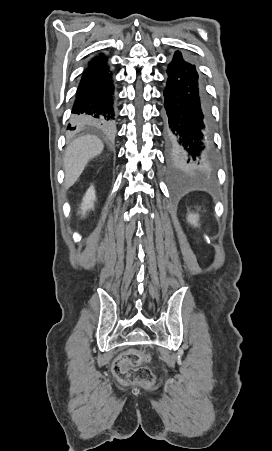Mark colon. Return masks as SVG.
<instances>
[{
    "label": "colon",
    "mask_w": 272,
    "mask_h": 451,
    "mask_svg": "<svg viewBox=\"0 0 272 451\" xmlns=\"http://www.w3.org/2000/svg\"><path fill=\"white\" fill-rule=\"evenodd\" d=\"M142 358L137 352L129 353L127 358H115V374H122L121 378L124 383H138L153 386L154 378L150 370L149 362L151 353L145 350ZM141 362L143 365H134Z\"/></svg>",
    "instance_id": "obj_1"
}]
</instances>
